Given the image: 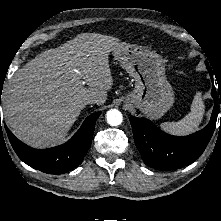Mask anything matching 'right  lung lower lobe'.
I'll use <instances>...</instances> for the list:
<instances>
[{
  "mask_svg": "<svg viewBox=\"0 0 221 221\" xmlns=\"http://www.w3.org/2000/svg\"><path fill=\"white\" fill-rule=\"evenodd\" d=\"M100 114L101 112H96L88 116L67 143L49 149H33L18 140L6 125L4 127L13 149L24 163L48 174H62L82 163L90 148L95 123ZM0 129L2 131L1 118Z\"/></svg>",
  "mask_w": 221,
  "mask_h": 221,
  "instance_id": "right-lung-lower-lobe-1",
  "label": "right lung lower lobe"
}]
</instances>
